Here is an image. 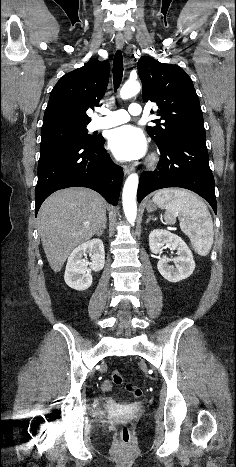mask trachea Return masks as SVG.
Listing matches in <instances>:
<instances>
[{
	"label": "trachea",
	"mask_w": 236,
	"mask_h": 467,
	"mask_svg": "<svg viewBox=\"0 0 236 467\" xmlns=\"http://www.w3.org/2000/svg\"><path fill=\"white\" fill-rule=\"evenodd\" d=\"M123 77V56L121 51H117L113 59V83L115 90L121 84Z\"/></svg>",
	"instance_id": "trachea-1"
}]
</instances>
